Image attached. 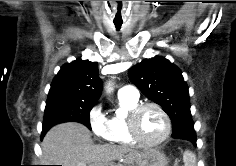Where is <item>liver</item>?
Instances as JSON below:
<instances>
[{"label": "liver", "instance_id": "obj_1", "mask_svg": "<svg viewBox=\"0 0 236 166\" xmlns=\"http://www.w3.org/2000/svg\"><path fill=\"white\" fill-rule=\"evenodd\" d=\"M41 148L42 163L62 166H114V161L118 159L127 165L137 162L144 154L126 146L96 145L90 131L75 122L52 127L46 133Z\"/></svg>", "mask_w": 236, "mask_h": 166}]
</instances>
